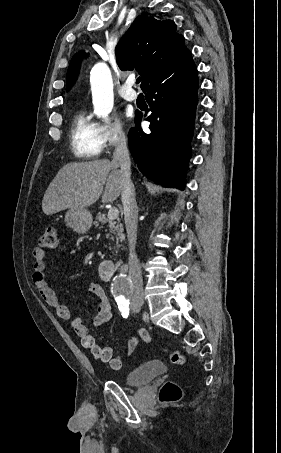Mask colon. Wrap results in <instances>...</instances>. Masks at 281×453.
<instances>
[{
	"instance_id": "obj_1",
	"label": "colon",
	"mask_w": 281,
	"mask_h": 453,
	"mask_svg": "<svg viewBox=\"0 0 281 453\" xmlns=\"http://www.w3.org/2000/svg\"><path fill=\"white\" fill-rule=\"evenodd\" d=\"M59 232V226H47L44 233L39 239L38 245H40V247H43L44 251H47V249L55 248ZM168 357L171 363L176 366H185L187 363V357L185 353L181 351H169ZM182 396L183 394L180 388L172 382L164 384L160 388L158 393V398L162 405H168L177 402L182 399Z\"/></svg>"
}]
</instances>
